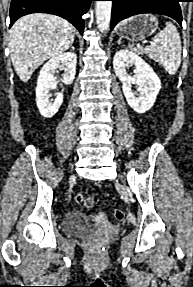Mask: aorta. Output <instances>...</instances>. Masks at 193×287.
<instances>
[{
    "instance_id": "1",
    "label": "aorta",
    "mask_w": 193,
    "mask_h": 287,
    "mask_svg": "<svg viewBox=\"0 0 193 287\" xmlns=\"http://www.w3.org/2000/svg\"><path fill=\"white\" fill-rule=\"evenodd\" d=\"M112 1H96V23L99 31L105 33L109 29Z\"/></svg>"
}]
</instances>
